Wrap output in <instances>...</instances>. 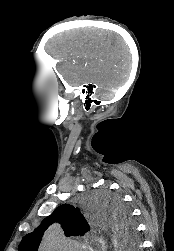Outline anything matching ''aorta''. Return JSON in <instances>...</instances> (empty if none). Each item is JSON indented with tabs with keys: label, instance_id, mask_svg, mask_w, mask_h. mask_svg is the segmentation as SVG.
Listing matches in <instances>:
<instances>
[{
	"label": "aorta",
	"instance_id": "1",
	"mask_svg": "<svg viewBox=\"0 0 174 251\" xmlns=\"http://www.w3.org/2000/svg\"><path fill=\"white\" fill-rule=\"evenodd\" d=\"M99 226L103 229L109 228L115 240V247L117 251H133V247L124 240L121 231L118 230L115 220L102 219L99 221ZM63 236L59 228H50L43 239L44 250L46 251H60L62 250Z\"/></svg>",
	"mask_w": 174,
	"mask_h": 251
}]
</instances>
